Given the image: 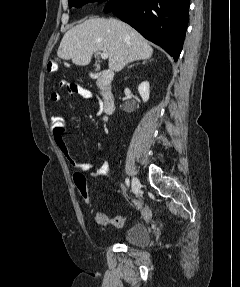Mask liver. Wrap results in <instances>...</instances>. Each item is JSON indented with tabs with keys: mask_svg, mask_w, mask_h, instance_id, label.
Instances as JSON below:
<instances>
[{
	"mask_svg": "<svg viewBox=\"0 0 240 287\" xmlns=\"http://www.w3.org/2000/svg\"><path fill=\"white\" fill-rule=\"evenodd\" d=\"M98 51L108 53L109 69L116 72L153 54L148 41L128 24L113 18H90L65 33L57 55L83 66Z\"/></svg>",
	"mask_w": 240,
	"mask_h": 287,
	"instance_id": "1",
	"label": "liver"
}]
</instances>
